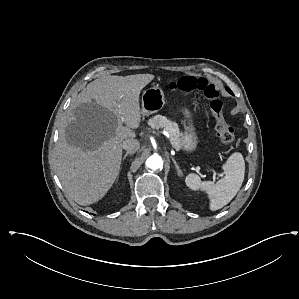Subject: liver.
Instances as JSON below:
<instances>
[{
    "label": "liver",
    "instance_id": "liver-1",
    "mask_svg": "<svg viewBox=\"0 0 299 299\" xmlns=\"http://www.w3.org/2000/svg\"><path fill=\"white\" fill-rule=\"evenodd\" d=\"M153 79L152 74L103 76L72 102L57 144L56 169L65 192L79 205L99 201L115 182L122 143L135 138L132 129L140 126V92Z\"/></svg>",
    "mask_w": 299,
    "mask_h": 299
}]
</instances>
